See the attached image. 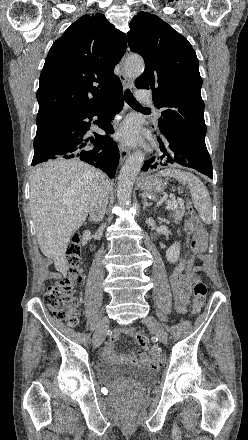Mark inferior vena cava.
I'll return each mask as SVG.
<instances>
[{"mask_svg":"<svg viewBox=\"0 0 248 440\" xmlns=\"http://www.w3.org/2000/svg\"><path fill=\"white\" fill-rule=\"evenodd\" d=\"M109 194V182L105 176H99L94 183L93 192L89 203L90 219L94 222H100L105 215Z\"/></svg>","mask_w":248,"mask_h":440,"instance_id":"inferior-vena-cava-1","label":"inferior vena cava"}]
</instances>
